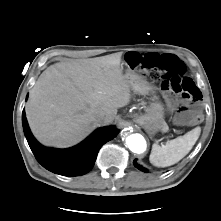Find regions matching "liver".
<instances>
[{
	"label": "liver",
	"instance_id": "6515ba94",
	"mask_svg": "<svg viewBox=\"0 0 221 221\" xmlns=\"http://www.w3.org/2000/svg\"><path fill=\"white\" fill-rule=\"evenodd\" d=\"M121 56L61 62L40 75L30 92L26 116L42 144L72 146L101 124L111 123L117 109L129 104L132 87L123 75ZM101 112L105 118L98 122Z\"/></svg>",
	"mask_w": 221,
	"mask_h": 221
}]
</instances>
